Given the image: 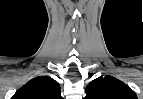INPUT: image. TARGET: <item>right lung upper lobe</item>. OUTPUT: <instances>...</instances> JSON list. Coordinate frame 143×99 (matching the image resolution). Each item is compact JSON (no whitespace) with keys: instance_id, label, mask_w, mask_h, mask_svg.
Returning <instances> with one entry per match:
<instances>
[{"instance_id":"cb5924a9","label":"right lung upper lobe","mask_w":143,"mask_h":99,"mask_svg":"<svg viewBox=\"0 0 143 99\" xmlns=\"http://www.w3.org/2000/svg\"><path fill=\"white\" fill-rule=\"evenodd\" d=\"M11 99H62L57 81L48 77H36L18 89Z\"/></svg>"}]
</instances>
